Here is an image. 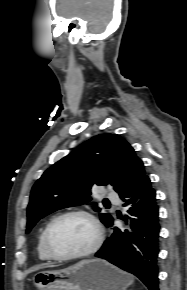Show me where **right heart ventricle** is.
Segmentation results:
<instances>
[{
    "label": "right heart ventricle",
    "mask_w": 187,
    "mask_h": 290,
    "mask_svg": "<svg viewBox=\"0 0 187 290\" xmlns=\"http://www.w3.org/2000/svg\"><path fill=\"white\" fill-rule=\"evenodd\" d=\"M44 231H45V229L40 233V235L38 237L37 252H38V256L41 260L50 261V260H52V258L48 255V253L46 252L45 247H44V242H43Z\"/></svg>",
    "instance_id": "right-heart-ventricle-1"
}]
</instances>
